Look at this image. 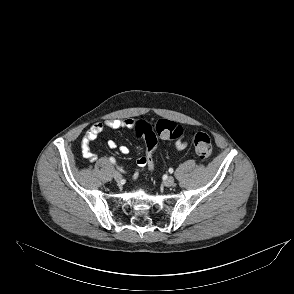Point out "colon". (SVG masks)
<instances>
[{
	"label": "colon",
	"instance_id": "obj_1",
	"mask_svg": "<svg viewBox=\"0 0 294 294\" xmlns=\"http://www.w3.org/2000/svg\"><path fill=\"white\" fill-rule=\"evenodd\" d=\"M136 136L142 138L145 144V157L150 163L154 164L157 146V135L166 139H177L183 134L181 126L173 121L160 120L156 124L144 120H135L134 127ZM191 140L196 154L201 159H207L212 154L211 139L203 131H193Z\"/></svg>",
	"mask_w": 294,
	"mask_h": 294
}]
</instances>
